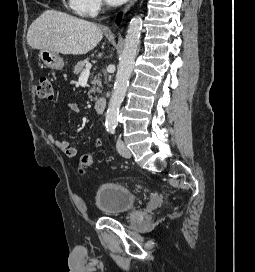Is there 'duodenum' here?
<instances>
[{
    "label": "duodenum",
    "mask_w": 255,
    "mask_h": 272,
    "mask_svg": "<svg viewBox=\"0 0 255 272\" xmlns=\"http://www.w3.org/2000/svg\"><path fill=\"white\" fill-rule=\"evenodd\" d=\"M107 100L103 97L96 100L94 103V109L97 113H103L106 108Z\"/></svg>",
    "instance_id": "obj_1"
}]
</instances>
